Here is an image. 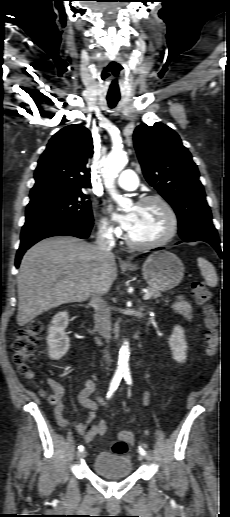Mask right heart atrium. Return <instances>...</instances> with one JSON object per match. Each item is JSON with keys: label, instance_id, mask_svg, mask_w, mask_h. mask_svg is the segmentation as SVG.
Here are the masks:
<instances>
[{"label": "right heart atrium", "instance_id": "right-heart-atrium-1", "mask_svg": "<svg viewBox=\"0 0 230 517\" xmlns=\"http://www.w3.org/2000/svg\"><path fill=\"white\" fill-rule=\"evenodd\" d=\"M100 234L104 238L117 237L120 234V229L113 225L107 217H101L98 223Z\"/></svg>", "mask_w": 230, "mask_h": 517}]
</instances>
